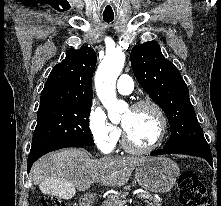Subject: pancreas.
<instances>
[{
	"label": "pancreas",
	"instance_id": "cf45deb5",
	"mask_svg": "<svg viewBox=\"0 0 221 206\" xmlns=\"http://www.w3.org/2000/svg\"><path fill=\"white\" fill-rule=\"evenodd\" d=\"M125 196V194H115L110 195L101 206H123L124 200L122 199ZM148 196V195H145ZM146 200L147 206H161V203L154 197L149 196Z\"/></svg>",
	"mask_w": 221,
	"mask_h": 206
}]
</instances>
